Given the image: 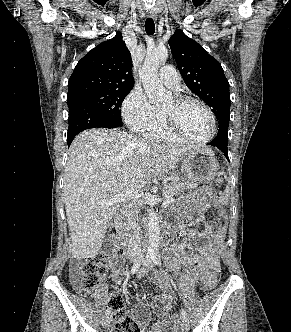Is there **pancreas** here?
<instances>
[{
    "label": "pancreas",
    "mask_w": 291,
    "mask_h": 332,
    "mask_svg": "<svg viewBox=\"0 0 291 332\" xmlns=\"http://www.w3.org/2000/svg\"><path fill=\"white\" fill-rule=\"evenodd\" d=\"M197 186H198L197 183H191L189 181L172 182L169 184H165L163 187V190H162L163 197L165 200L171 199L174 196L181 194L183 191L195 189ZM141 206H142V203L137 202V203L133 204L130 207V209L123 214V216H122L123 226L126 227L128 224L129 212H131L133 209H139V208H141Z\"/></svg>",
    "instance_id": "1"
}]
</instances>
